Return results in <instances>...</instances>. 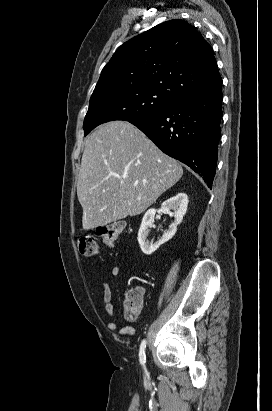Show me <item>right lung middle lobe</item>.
Instances as JSON below:
<instances>
[{"label": "right lung middle lobe", "instance_id": "1", "mask_svg": "<svg viewBox=\"0 0 272 411\" xmlns=\"http://www.w3.org/2000/svg\"><path fill=\"white\" fill-rule=\"evenodd\" d=\"M174 94L157 88L130 87L93 93L84 120L85 136L96 126L113 120L134 121L161 112L174 101Z\"/></svg>", "mask_w": 272, "mask_h": 411}]
</instances>
